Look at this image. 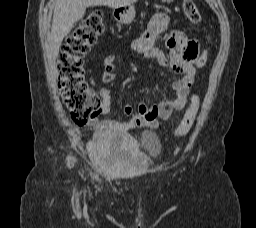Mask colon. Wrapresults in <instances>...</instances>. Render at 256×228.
Wrapping results in <instances>:
<instances>
[{
  "label": "colon",
  "mask_w": 256,
  "mask_h": 228,
  "mask_svg": "<svg viewBox=\"0 0 256 228\" xmlns=\"http://www.w3.org/2000/svg\"><path fill=\"white\" fill-rule=\"evenodd\" d=\"M183 11L190 22L199 24L201 14L193 0H183ZM104 30L100 11L91 12L67 38L57 59L60 92L67 111L73 121L85 123L92 119L101 108L98 96L92 91L84 77L83 60ZM208 53L196 57V65L202 67ZM199 108V99L193 96L191 103L176 125L175 136H185L193 126Z\"/></svg>",
  "instance_id": "1"
}]
</instances>
